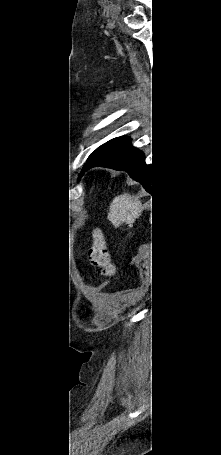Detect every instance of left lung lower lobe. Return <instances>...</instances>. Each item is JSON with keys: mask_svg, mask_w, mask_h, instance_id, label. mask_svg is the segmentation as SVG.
Returning <instances> with one entry per match:
<instances>
[{"mask_svg": "<svg viewBox=\"0 0 221 455\" xmlns=\"http://www.w3.org/2000/svg\"><path fill=\"white\" fill-rule=\"evenodd\" d=\"M95 166L127 171L147 191H152V170L145 163L144 153L133 147L129 138L118 137L110 141L85 164L83 172Z\"/></svg>", "mask_w": 221, "mask_h": 455, "instance_id": "left-lung-lower-lobe-1", "label": "left lung lower lobe"}]
</instances>
